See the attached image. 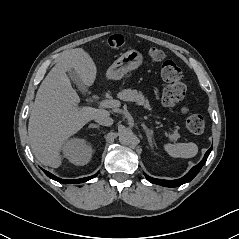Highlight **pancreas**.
Wrapping results in <instances>:
<instances>
[{
  "instance_id": "pancreas-1",
  "label": "pancreas",
  "mask_w": 239,
  "mask_h": 239,
  "mask_svg": "<svg viewBox=\"0 0 239 239\" xmlns=\"http://www.w3.org/2000/svg\"><path fill=\"white\" fill-rule=\"evenodd\" d=\"M118 98L123 101L136 102L138 105L144 106L146 109H151L149 102L145 99L144 95L141 92L133 89H124L118 93ZM178 136H173V139H177Z\"/></svg>"
}]
</instances>
